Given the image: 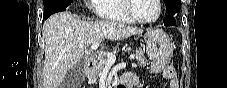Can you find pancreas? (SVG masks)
<instances>
[{
    "instance_id": "1",
    "label": "pancreas",
    "mask_w": 227,
    "mask_h": 88,
    "mask_svg": "<svg viewBox=\"0 0 227 88\" xmlns=\"http://www.w3.org/2000/svg\"><path fill=\"white\" fill-rule=\"evenodd\" d=\"M134 55L138 64L143 66L146 65V60L142 49H136ZM106 65L107 58H100L98 65L96 67H93L88 73L90 82H94L100 76Z\"/></svg>"
}]
</instances>
